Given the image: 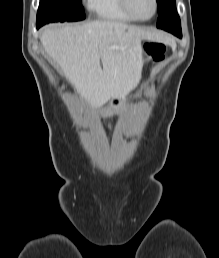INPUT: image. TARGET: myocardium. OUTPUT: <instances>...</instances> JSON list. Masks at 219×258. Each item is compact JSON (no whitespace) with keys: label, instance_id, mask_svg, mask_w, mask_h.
<instances>
[{"label":"myocardium","instance_id":"f54148a6","mask_svg":"<svg viewBox=\"0 0 219 258\" xmlns=\"http://www.w3.org/2000/svg\"><path fill=\"white\" fill-rule=\"evenodd\" d=\"M153 4H154V10H153V13L150 17L148 18H139L137 17L132 9H131V6H130V1L129 0H121V5H122V8L124 9V11L134 20V21H139V22H146V21H149L151 20L157 13L158 11V0H153Z\"/></svg>","mask_w":219,"mask_h":258}]
</instances>
